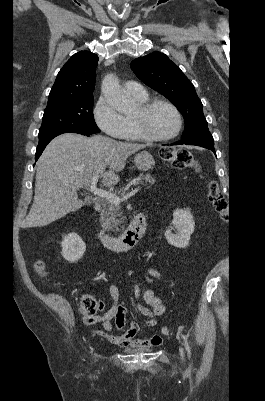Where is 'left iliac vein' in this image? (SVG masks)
<instances>
[{"mask_svg": "<svg viewBox=\"0 0 265 401\" xmlns=\"http://www.w3.org/2000/svg\"><path fill=\"white\" fill-rule=\"evenodd\" d=\"M181 358H182V359L184 358V352H183V350H181Z\"/></svg>", "mask_w": 265, "mask_h": 401, "instance_id": "1", "label": "left iliac vein"}]
</instances>
